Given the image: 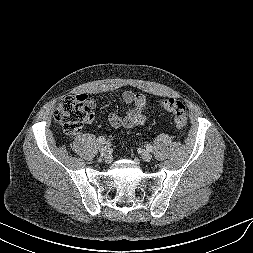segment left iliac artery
Listing matches in <instances>:
<instances>
[{"instance_id":"1","label":"left iliac artery","mask_w":253,"mask_h":253,"mask_svg":"<svg viewBox=\"0 0 253 253\" xmlns=\"http://www.w3.org/2000/svg\"><path fill=\"white\" fill-rule=\"evenodd\" d=\"M146 149H147V151L152 152L153 146L150 145V144H148V145L146 146Z\"/></svg>"}]
</instances>
